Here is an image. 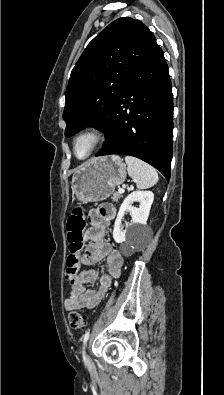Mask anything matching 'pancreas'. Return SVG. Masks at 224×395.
Segmentation results:
<instances>
[{
  "instance_id": "1",
  "label": "pancreas",
  "mask_w": 224,
  "mask_h": 395,
  "mask_svg": "<svg viewBox=\"0 0 224 395\" xmlns=\"http://www.w3.org/2000/svg\"><path fill=\"white\" fill-rule=\"evenodd\" d=\"M120 198H121V194H119L117 192L112 195V199H113L114 202H118V200Z\"/></svg>"
}]
</instances>
